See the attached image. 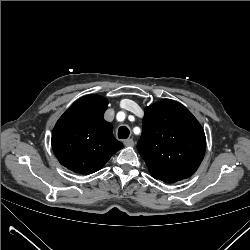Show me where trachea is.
<instances>
[{"mask_svg": "<svg viewBox=\"0 0 250 250\" xmlns=\"http://www.w3.org/2000/svg\"><path fill=\"white\" fill-rule=\"evenodd\" d=\"M129 134H130L129 129L126 126H121L118 129V137L120 139H126V138H128Z\"/></svg>", "mask_w": 250, "mask_h": 250, "instance_id": "obj_1", "label": "trachea"}]
</instances>
